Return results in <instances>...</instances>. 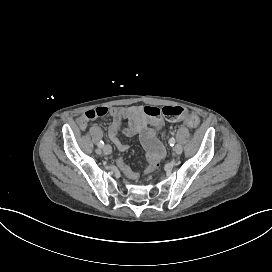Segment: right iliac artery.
<instances>
[{
  "label": "right iliac artery",
  "mask_w": 272,
  "mask_h": 272,
  "mask_svg": "<svg viewBox=\"0 0 272 272\" xmlns=\"http://www.w3.org/2000/svg\"><path fill=\"white\" fill-rule=\"evenodd\" d=\"M104 146V142L103 141H100L99 143H98V147L99 148H102Z\"/></svg>",
  "instance_id": "obj_1"
}]
</instances>
